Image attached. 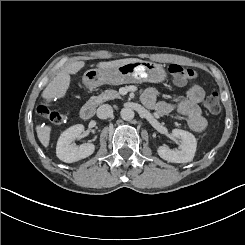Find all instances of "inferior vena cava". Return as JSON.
<instances>
[{
  "instance_id": "inferior-vena-cava-1",
  "label": "inferior vena cava",
  "mask_w": 245,
  "mask_h": 245,
  "mask_svg": "<svg viewBox=\"0 0 245 245\" xmlns=\"http://www.w3.org/2000/svg\"><path fill=\"white\" fill-rule=\"evenodd\" d=\"M112 113H113V108L108 104L101 105L97 109V117L102 120L109 118L112 115Z\"/></svg>"
}]
</instances>
